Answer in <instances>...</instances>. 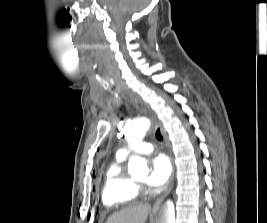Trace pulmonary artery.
Returning <instances> with one entry per match:
<instances>
[{
	"label": "pulmonary artery",
	"instance_id": "e3ab8cb5",
	"mask_svg": "<svg viewBox=\"0 0 267 223\" xmlns=\"http://www.w3.org/2000/svg\"><path fill=\"white\" fill-rule=\"evenodd\" d=\"M154 148V145L151 142H145L137 147H128L124 146L118 152V155L121 157H126L131 154H147L150 153Z\"/></svg>",
	"mask_w": 267,
	"mask_h": 223
}]
</instances>
